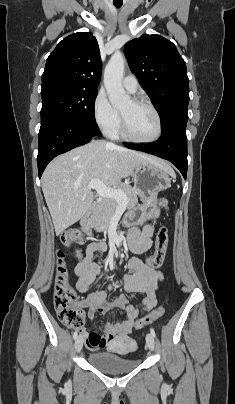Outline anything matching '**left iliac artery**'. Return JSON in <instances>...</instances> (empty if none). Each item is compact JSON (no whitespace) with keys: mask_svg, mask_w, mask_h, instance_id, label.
I'll use <instances>...</instances> for the list:
<instances>
[{"mask_svg":"<svg viewBox=\"0 0 235 404\" xmlns=\"http://www.w3.org/2000/svg\"><path fill=\"white\" fill-rule=\"evenodd\" d=\"M150 332H151V334H152L153 337H156V334H155V331H154L153 328L150 329Z\"/></svg>","mask_w":235,"mask_h":404,"instance_id":"left-iliac-artery-1","label":"left iliac artery"}]
</instances>
